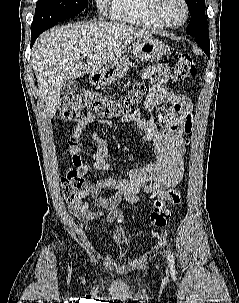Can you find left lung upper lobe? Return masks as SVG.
<instances>
[{"label": "left lung upper lobe", "instance_id": "obj_1", "mask_svg": "<svg viewBox=\"0 0 239 303\" xmlns=\"http://www.w3.org/2000/svg\"><path fill=\"white\" fill-rule=\"evenodd\" d=\"M191 15L186 32L195 40L209 42L208 22L205 15V0H185Z\"/></svg>", "mask_w": 239, "mask_h": 303}]
</instances>
